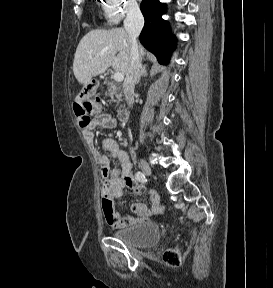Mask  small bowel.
Masks as SVG:
<instances>
[{"mask_svg":"<svg viewBox=\"0 0 273 288\" xmlns=\"http://www.w3.org/2000/svg\"><path fill=\"white\" fill-rule=\"evenodd\" d=\"M117 125L116 120L109 114H99L91 119L89 125L83 128V136L88 145L93 149L96 162L100 165V173L103 178L101 186L102 209L106 221L115 228H124L146 221L152 215L163 213L164 206L160 204L158 195L149 191L152 207L149 208L142 203H134L131 208L135 216H120L114 207V200L123 196L124 188L127 186L136 194L144 191L142 185L137 183L131 173L129 156L121 149L116 140L106 138L102 141V148L111 157L121 163V169H111L109 157L94 150V131L97 129H113Z\"/></svg>","mask_w":273,"mask_h":288,"instance_id":"small-bowel-1","label":"small bowel"}]
</instances>
